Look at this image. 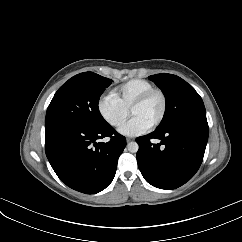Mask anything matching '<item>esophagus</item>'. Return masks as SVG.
<instances>
[{"label": "esophagus", "instance_id": "1", "mask_svg": "<svg viewBox=\"0 0 242 242\" xmlns=\"http://www.w3.org/2000/svg\"><path fill=\"white\" fill-rule=\"evenodd\" d=\"M132 140H133L132 138H127L126 139L127 143L130 142V141H132Z\"/></svg>", "mask_w": 242, "mask_h": 242}]
</instances>
